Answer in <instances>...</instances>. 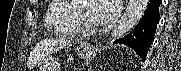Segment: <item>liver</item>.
I'll use <instances>...</instances> for the list:
<instances>
[{"label":"liver","instance_id":"liver-1","mask_svg":"<svg viewBox=\"0 0 181 71\" xmlns=\"http://www.w3.org/2000/svg\"><path fill=\"white\" fill-rule=\"evenodd\" d=\"M72 46V42L70 40L64 38H49L41 41L32 51L29 61L28 67L33 68L40 60H42L46 55L57 51L61 48Z\"/></svg>","mask_w":181,"mask_h":71}]
</instances>
